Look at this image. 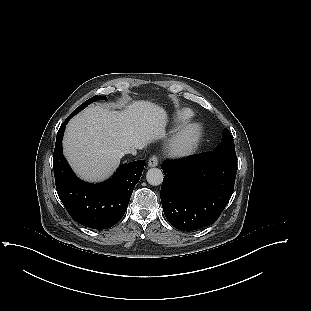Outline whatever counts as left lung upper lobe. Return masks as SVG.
<instances>
[{"instance_id": "1", "label": "left lung upper lobe", "mask_w": 311, "mask_h": 311, "mask_svg": "<svg viewBox=\"0 0 311 311\" xmlns=\"http://www.w3.org/2000/svg\"><path fill=\"white\" fill-rule=\"evenodd\" d=\"M213 151L235 155L234 140L227 128L224 129L222 141Z\"/></svg>"}]
</instances>
